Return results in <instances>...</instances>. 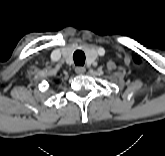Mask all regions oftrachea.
Wrapping results in <instances>:
<instances>
[{"instance_id": "1", "label": "trachea", "mask_w": 165, "mask_h": 156, "mask_svg": "<svg viewBox=\"0 0 165 156\" xmlns=\"http://www.w3.org/2000/svg\"><path fill=\"white\" fill-rule=\"evenodd\" d=\"M74 63L79 66H83L85 64V54L83 51L77 50L73 54Z\"/></svg>"}]
</instances>
